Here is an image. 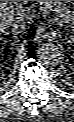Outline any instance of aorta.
I'll use <instances>...</instances> for the list:
<instances>
[{
    "instance_id": "762f6f07",
    "label": "aorta",
    "mask_w": 74,
    "mask_h": 122,
    "mask_svg": "<svg viewBox=\"0 0 74 122\" xmlns=\"http://www.w3.org/2000/svg\"><path fill=\"white\" fill-rule=\"evenodd\" d=\"M38 57L44 64L56 66L63 60V52L56 44L43 42L39 47Z\"/></svg>"
}]
</instances>
